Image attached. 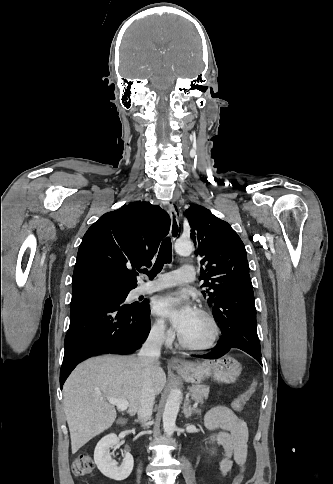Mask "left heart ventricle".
<instances>
[{
  "label": "left heart ventricle",
  "mask_w": 333,
  "mask_h": 484,
  "mask_svg": "<svg viewBox=\"0 0 333 484\" xmlns=\"http://www.w3.org/2000/svg\"><path fill=\"white\" fill-rule=\"evenodd\" d=\"M212 334V328L208 320L195 312L193 317L186 324L180 335L191 344L201 345L206 343Z\"/></svg>",
  "instance_id": "obj_1"
}]
</instances>
